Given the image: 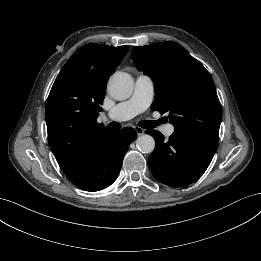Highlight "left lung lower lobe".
I'll use <instances>...</instances> for the list:
<instances>
[{
  "instance_id": "obj_1",
  "label": "left lung lower lobe",
  "mask_w": 261,
  "mask_h": 261,
  "mask_svg": "<svg viewBox=\"0 0 261 261\" xmlns=\"http://www.w3.org/2000/svg\"><path fill=\"white\" fill-rule=\"evenodd\" d=\"M155 139V149L148 163L153 176L171 187H181L198 180L209 166L218 140L173 133L166 141L155 130H147Z\"/></svg>"
}]
</instances>
